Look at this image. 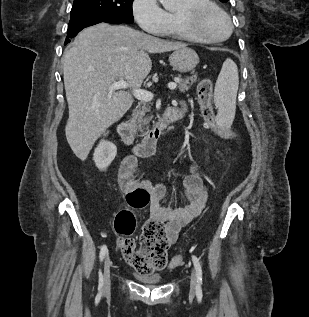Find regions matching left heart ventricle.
Returning <instances> with one entry per match:
<instances>
[{"label": "left heart ventricle", "mask_w": 309, "mask_h": 317, "mask_svg": "<svg viewBox=\"0 0 309 317\" xmlns=\"http://www.w3.org/2000/svg\"><path fill=\"white\" fill-rule=\"evenodd\" d=\"M197 28L206 34L213 36H223L227 32L224 19L216 13L205 14L198 22Z\"/></svg>", "instance_id": "left-heart-ventricle-1"}]
</instances>
